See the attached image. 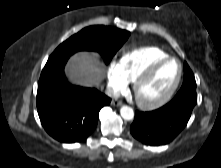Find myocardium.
Masks as SVG:
<instances>
[{"label": "myocardium", "mask_w": 221, "mask_h": 168, "mask_svg": "<svg viewBox=\"0 0 221 168\" xmlns=\"http://www.w3.org/2000/svg\"><path fill=\"white\" fill-rule=\"evenodd\" d=\"M170 61H175L178 65V74H177L176 80L174 81L172 86L162 96H160L159 98H157L155 100H151V101L142 100L138 96L139 88L146 81H148L162 65H164L165 63L170 62ZM182 74H183V67H182L181 61L175 57L167 56L163 59H160V60L152 63L147 69H145L133 81V94H134L137 104L141 108L147 109V110L156 109V108L164 105L165 103H167L171 99V97L174 95V93L178 89L179 84L182 79Z\"/></svg>", "instance_id": "obj_1"}]
</instances>
